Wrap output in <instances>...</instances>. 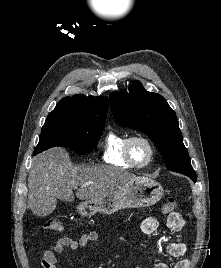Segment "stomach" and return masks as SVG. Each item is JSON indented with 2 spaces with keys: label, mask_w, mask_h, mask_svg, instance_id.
<instances>
[{
  "label": "stomach",
  "mask_w": 221,
  "mask_h": 268,
  "mask_svg": "<svg viewBox=\"0 0 221 268\" xmlns=\"http://www.w3.org/2000/svg\"><path fill=\"white\" fill-rule=\"evenodd\" d=\"M164 195L163 187L156 181L146 177H134L99 199L86 200L77 207L84 217H91L97 212L113 214L125 208H143L154 205Z\"/></svg>",
  "instance_id": "0dacf381"
}]
</instances>
